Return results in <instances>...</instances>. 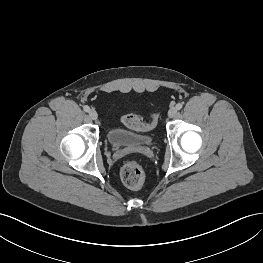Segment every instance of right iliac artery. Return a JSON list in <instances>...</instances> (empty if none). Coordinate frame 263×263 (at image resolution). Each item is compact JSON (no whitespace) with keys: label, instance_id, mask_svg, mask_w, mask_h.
Listing matches in <instances>:
<instances>
[{"label":"right iliac artery","instance_id":"obj_1","mask_svg":"<svg viewBox=\"0 0 263 263\" xmlns=\"http://www.w3.org/2000/svg\"><path fill=\"white\" fill-rule=\"evenodd\" d=\"M83 109H84V111H85V112H88V111H90V107H89V106H87V105H85V106L83 107Z\"/></svg>","mask_w":263,"mask_h":263}]
</instances>
